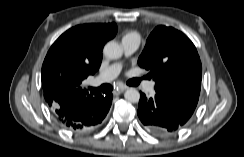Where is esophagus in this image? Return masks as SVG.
<instances>
[{
	"label": "esophagus",
	"instance_id": "esophagus-1",
	"mask_svg": "<svg viewBox=\"0 0 244 157\" xmlns=\"http://www.w3.org/2000/svg\"><path fill=\"white\" fill-rule=\"evenodd\" d=\"M126 89H127L126 86H124V85H119V86L113 91V94H114V95H119V94H121L122 92H124Z\"/></svg>",
	"mask_w": 244,
	"mask_h": 157
}]
</instances>
